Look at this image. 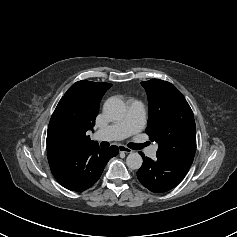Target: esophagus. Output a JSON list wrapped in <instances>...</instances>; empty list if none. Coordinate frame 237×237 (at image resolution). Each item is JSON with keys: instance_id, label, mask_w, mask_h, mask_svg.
<instances>
[{"instance_id": "34e87169", "label": "esophagus", "mask_w": 237, "mask_h": 237, "mask_svg": "<svg viewBox=\"0 0 237 237\" xmlns=\"http://www.w3.org/2000/svg\"><path fill=\"white\" fill-rule=\"evenodd\" d=\"M119 151L121 152V153H126V154H128V153H132L133 151L130 149V148H128V147H126V146H123V145H119Z\"/></svg>"}]
</instances>
